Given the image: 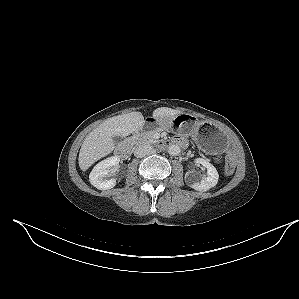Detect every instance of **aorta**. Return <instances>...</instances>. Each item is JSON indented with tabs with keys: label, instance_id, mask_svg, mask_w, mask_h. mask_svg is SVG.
Instances as JSON below:
<instances>
[{
	"label": "aorta",
	"instance_id": "aorta-1",
	"mask_svg": "<svg viewBox=\"0 0 299 299\" xmlns=\"http://www.w3.org/2000/svg\"><path fill=\"white\" fill-rule=\"evenodd\" d=\"M180 147L176 144H173L171 146H169L168 148V153L171 155V156H177L180 154Z\"/></svg>",
	"mask_w": 299,
	"mask_h": 299
}]
</instances>
